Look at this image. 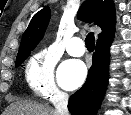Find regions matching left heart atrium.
I'll return each mask as SVG.
<instances>
[{"mask_svg": "<svg viewBox=\"0 0 131 115\" xmlns=\"http://www.w3.org/2000/svg\"><path fill=\"white\" fill-rule=\"evenodd\" d=\"M87 70L85 65L78 60H68L64 62L58 72V80L60 85L72 90L77 88L85 80Z\"/></svg>", "mask_w": 131, "mask_h": 115, "instance_id": "left-heart-atrium-1", "label": "left heart atrium"}]
</instances>
